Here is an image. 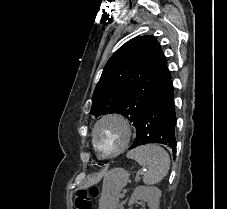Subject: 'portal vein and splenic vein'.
Here are the masks:
<instances>
[{"instance_id": "18ae733b", "label": "portal vein and splenic vein", "mask_w": 227, "mask_h": 209, "mask_svg": "<svg viewBox=\"0 0 227 209\" xmlns=\"http://www.w3.org/2000/svg\"><path fill=\"white\" fill-rule=\"evenodd\" d=\"M129 190L126 188L123 192L125 193H127ZM124 193H121L120 195H119V197L122 199V198H124L126 195L124 194Z\"/></svg>"}]
</instances>
